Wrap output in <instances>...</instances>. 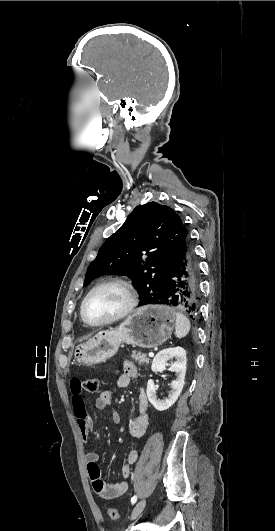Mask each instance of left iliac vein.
<instances>
[{"label": "left iliac vein", "instance_id": "obj_1", "mask_svg": "<svg viewBox=\"0 0 275 531\" xmlns=\"http://www.w3.org/2000/svg\"><path fill=\"white\" fill-rule=\"evenodd\" d=\"M145 506H146V499L140 500L135 505V507L133 508V511H132V520L136 519L142 513V511L145 508Z\"/></svg>", "mask_w": 275, "mask_h": 531}]
</instances>
